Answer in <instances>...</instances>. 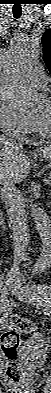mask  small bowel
<instances>
[{"mask_svg": "<svg viewBox=\"0 0 51 393\" xmlns=\"http://www.w3.org/2000/svg\"><path fill=\"white\" fill-rule=\"evenodd\" d=\"M1 323L3 326H6L7 321L5 319H2Z\"/></svg>", "mask_w": 51, "mask_h": 393, "instance_id": "obj_1", "label": "small bowel"}]
</instances>
